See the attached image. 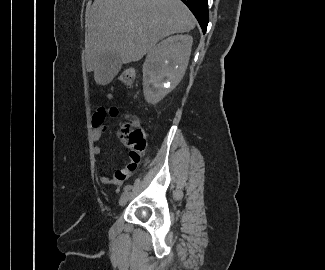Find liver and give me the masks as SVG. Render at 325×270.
Returning <instances> with one entry per match:
<instances>
[{
    "instance_id": "liver-1",
    "label": "liver",
    "mask_w": 325,
    "mask_h": 270,
    "mask_svg": "<svg viewBox=\"0 0 325 270\" xmlns=\"http://www.w3.org/2000/svg\"><path fill=\"white\" fill-rule=\"evenodd\" d=\"M195 25L180 0H94L85 15L87 71H94L97 84H108L112 79L97 72L103 54L116 53L122 64L136 62L163 38Z\"/></svg>"
}]
</instances>
